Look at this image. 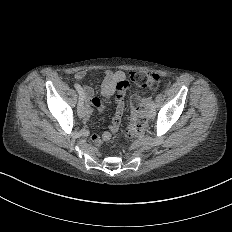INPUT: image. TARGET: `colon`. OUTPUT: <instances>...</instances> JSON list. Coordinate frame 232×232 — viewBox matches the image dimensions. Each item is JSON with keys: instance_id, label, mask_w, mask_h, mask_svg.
<instances>
[{"instance_id": "1", "label": "colon", "mask_w": 232, "mask_h": 232, "mask_svg": "<svg viewBox=\"0 0 232 232\" xmlns=\"http://www.w3.org/2000/svg\"><path fill=\"white\" fill-rule=\"evenodd\" d=\"M158 71H134L130 78L134 82H139V86H149V91H160V86H155ZM155 97H162V92H155ZM132 124L128 127V134L132 138H139L143 134V129L147 126V108L142 100H135L131 104Z\"/></svg>"}]
</instances>
